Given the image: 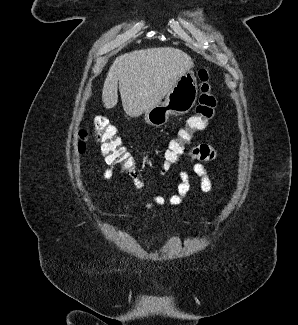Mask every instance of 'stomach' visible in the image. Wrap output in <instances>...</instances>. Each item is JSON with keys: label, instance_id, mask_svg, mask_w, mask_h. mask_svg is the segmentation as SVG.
Segmentation results:
<instances>
[{"label": "stomach", "instance_id": "1", "mask_svg": "<svg viewBox=\"0 0 298 325\" xmlns=\"http://www.w3.org/2000/svg\"><path fill=\"white\" fill-rule=\"evenodd\" d=\"M198 98V84L194 70L181 74L173 88L167 92L165 100L144 112V120L152 126H162L169 116L186 114L193 108Z\"/></svg>", "mask_w": 298, "mask_h": 325}]
</instances>
